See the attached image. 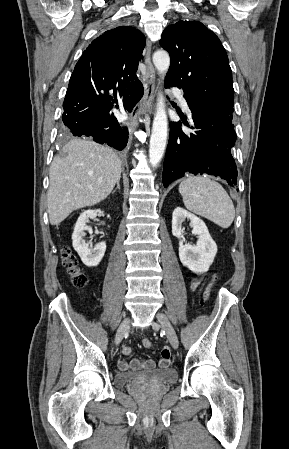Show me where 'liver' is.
I'll return each mask as SVG.
<instances>
[{"instance_id":"liver-1","label":"liver","mask_w":289,"mask_h":449,"mask_svg":"<svg viewBox=\"0 0 289 449\" xmlns=\"http://www.w3.org/2000/svg\"><path fill=\"white\" fill-rule=\"evenodd\" d=\"M53 159L47 193L51 225H58L77 209L104 200L121 177V160L109 147L74 139Z\"/></svg>"}]
</instances>
